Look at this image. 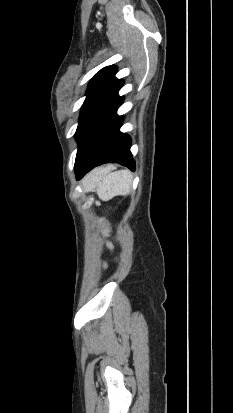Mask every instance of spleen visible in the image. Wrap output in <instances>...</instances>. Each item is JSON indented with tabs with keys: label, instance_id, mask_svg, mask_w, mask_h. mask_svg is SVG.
<instances>
[{
	"label": "spleen",
	"instance_id": "spleen-1",
	"mask_svg": "<svg viewBox=\"0 0 233 413\" xmlns=\"http://www.w3.org/2000/svg\"><path fill=\"white\" fill-rule=\"evenodd\" d=\"M96 192L103 201H108L117 195H127L131 191V172L118 170L109 174L98 172L93 178Z\"/></svg>",
	"mask_w": 233,
	"mask_h": 413
}]
</instances>
